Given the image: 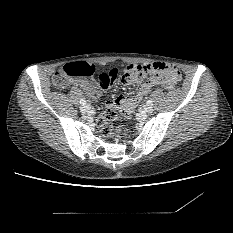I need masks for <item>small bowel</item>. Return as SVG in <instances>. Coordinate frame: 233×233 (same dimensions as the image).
<instances>
[{"label":"small bowel","mask_w":233,"mask_h":233,"mask_svg":"<svg viewBox=\"0 0 233 233\" xmlns=\"http://www.w3.org/2000/svg\"><path fill=\"white\" fill-rule=\"evenodd\" d=\"M117 73L118 70L116 68H111L102 73L97 82L92 79L83 78L75 80L74 83L84 88L89 95L92 96L97 93V89L101 90L102 92H106L115 82ZM179 76L180 73L175 70L167 75L156 77L150 81L142 83L135 96L126 98L124 95H119L113 100L106 101L104 106L107 109H125L127 107H135L153 87L170 89L178 82ZM122 83L125 86H129L138 83V80L134 78L123 79Z\"/></svg>","instance_id":"1"}]
</instances>
